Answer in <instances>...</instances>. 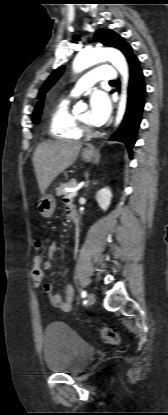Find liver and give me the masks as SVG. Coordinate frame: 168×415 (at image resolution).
I'll return each instance as SVG.
<instances>
[{"mask_svg": "<svg viewBox=\"0 0 168 415\" xmlns=\"http://www.w3.org/2000/svg\"><path fill=\"white\" fill-rule=\"evenodd\" d=\"M81 147V143L65 140L45 141L37 146L32 160L42 194L60 173L73 165Z\"/></svg>", "mask_w": 168, "mask_h": 415, "instance_id": "obj_1", "label": "liver"}]
</instances>
